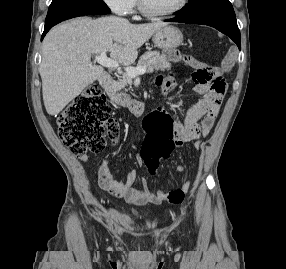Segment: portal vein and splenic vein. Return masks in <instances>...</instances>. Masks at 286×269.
Masks as SVG:
<instances>
[{
  "label": "portal vein and splenic vein",
  "mask_w": 286,
  "mask_h": 269,
  "mask_svg": "<svg viewBox=\"0 0 286 269\" xmlns=\"http://www.w3.org/2000/svg\"><path fill=\"white\" fill-rule=\"evenodd\" d=\"M95 61L104 67H119V63L116 60L107 57L106 51H103L98 56H96ZM125 71L126 74L134 78L138 75H143L146 72V67H126Z\"/></svg>",
  "instance_id": "18ae733b"
}]
</instances>
